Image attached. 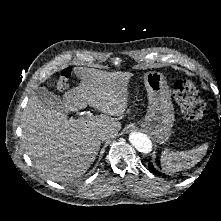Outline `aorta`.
Instances as JSON below:
<instances>
[{
	"mask_svg": "<svg viewBox=\"0 0 221 221\" xmlns=\"http://www.w3.org/2000/svg\"><path fill=\"white\" fill-rule=\"evenodd\" d=\"M129 141L132 146L141 153H149L152 149V143L147 135L140 132H131Z\"/></svg>",
	"mask_w": 221,
	"mask_h": 221,
	"instance_id": "obj_1",
	"label": "aorta"
}]
</instances>
